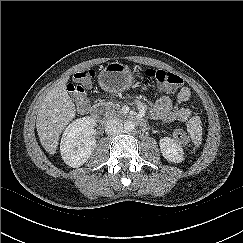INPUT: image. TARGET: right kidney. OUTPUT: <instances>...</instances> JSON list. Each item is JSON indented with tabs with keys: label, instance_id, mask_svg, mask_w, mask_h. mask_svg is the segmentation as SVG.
Segmentation results:
<instances>
[{
	"label": "right kidney",
	"instance_id": "obj_1",
	"mask_svg": "<svg viewBox=\"0 0 243 243\" xmlns=\"http://www.w3.org/2000/svg\"><path fill=\"white\" fill-rule=\"evenodd\" d=\"M95 120L82 117L71 122L63 132L60 152L64 162L73 168L82 166L92 155L96 140L90 134Z\"/></svg>",
	"mask_w": 243,
	"mask_h": 243
}]
</instances>
